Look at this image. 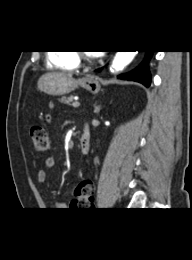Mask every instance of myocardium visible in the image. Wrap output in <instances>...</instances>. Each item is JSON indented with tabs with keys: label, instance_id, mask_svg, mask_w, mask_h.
Listing matches in <instances>:
<instances>
[{
	"label": "myocardium",
	"instance_id": "myocardium-1",
	"mask_svg": "<svg viewBox=\"0 0 192 260\" xmlns=\"http://www.w3.org/2000/svg\"><path fill=\"white\" fill-rule=\"evenodd\" d=\"M75 53H76V55L78 56L79 59H82L83 61H85L87 63H92L96 59V55L89 54L87 52L77 51Z\"/></svg>",
	"mask_w": 192,
	"mask_h": 260
}]
</instances>
